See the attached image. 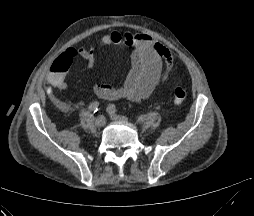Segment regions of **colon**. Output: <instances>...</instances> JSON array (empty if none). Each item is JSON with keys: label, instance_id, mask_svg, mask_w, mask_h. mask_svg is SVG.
<instances>
[{"label": "colon", "instance_id": "5ec220e1", "mask_svg": "<svg viewBox=\"0 0 254 216\" xmlns=\"http://www.w3.org/2000/svg\"><path fill=\"white\" fill-rule=\"evenodd\" d=\"M70 65H66L64 64L62 61H61V58L57 59L50 67V72H53V73H57V74H60V73H63L65 72L68 67ZM186 96H187V93H186V90L181 87V86H178L174 89V92H173V99H174V102L176 104H181L182 102H184V100L186 99Z\"/></svg>", "mask_w": 254, "mask_h": 216}]
</instances>
